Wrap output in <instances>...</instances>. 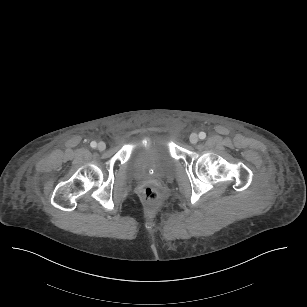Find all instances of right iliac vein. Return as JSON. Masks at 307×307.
I'll list each match as a JSON object with an SVG mask.
<instances>
[{
    "instance_id": "1",
    "label": "right iliac vein",
    "mask_w": 307,
    "mask_h": 307,
    "mask_svg": "<svg viewBox=\"0 0 307 307\" xmlns=\"http://www.w3.org/2000/svg\"><path fill=\"white\" fill-rule=\"evenodd\" d=\"M98 150L104 151L106 149V144L104 142H99L97 145Z\"/></svg>"
}]
</instances>
